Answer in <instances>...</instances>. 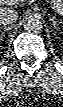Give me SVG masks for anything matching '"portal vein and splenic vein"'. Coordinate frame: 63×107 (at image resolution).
I'll list each match as a JSON object with an SVG mask.
<instances>
[{
  "label": "portal vein and splenic vein",
  "instance_id": "1",
  "mask_svg": "<svg viewBox=\"0 0 63 107\" xmlns=\"http://www.w3.org/2000/svg\"><path fill=\"white\" fill-rule=\"evenodd\" d=\"M4 2H5V5H13L14 4L13 0H4ZM50 8L59 14H63V10L58 9V8L54 7L53 5H51Z\"/></svg>",
  "mask_w": 63,
  "mask_h": 107
}]
</instances>
